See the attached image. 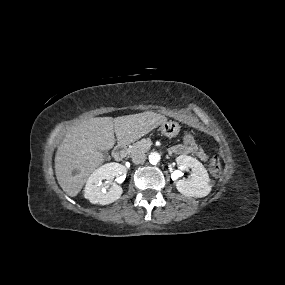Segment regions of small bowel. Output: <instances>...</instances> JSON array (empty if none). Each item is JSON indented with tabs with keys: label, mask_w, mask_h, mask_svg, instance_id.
<instances>
[{
	"label": "small bowel",
	"mask_w": 285,
	"mask_h": 285,
	"mask_svg": "<svg viewBox=\"0 0 285 285\" xmlns=\"http://www.w3.org/2000/svg\"><path fill=\"white\" fill-rule=\"evenodd\" d=\"M172 152L178 155L193 154L202 161H207L208 159L204 150L196 142L192 146H187L185 143L176 145L172 148Z\"/></svg>",
	"instance_id": "small-bowel-1"
}]
</instances>
